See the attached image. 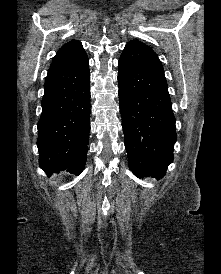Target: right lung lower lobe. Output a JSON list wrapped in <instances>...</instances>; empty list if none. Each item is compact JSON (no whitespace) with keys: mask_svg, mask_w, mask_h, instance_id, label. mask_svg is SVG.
<instances>
[{"mask_svg":"<svg viewBox=\"0 0 221 274\" xmlns=\"http://www.w3.org/2000/svg\"><path fill=\"white\" fill-rule=\"evenodd\" d=\"M88 58L47 75L38 122L39 166L48 175L68 171L79 175L85 166L90 131Z\"/></svg>","mask_w":221,"mask_h":274,"instance_id":"right-lung-lower-lobe-1","label":"right lung lower lobe"}]
</instances>
